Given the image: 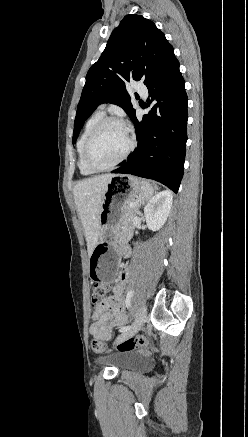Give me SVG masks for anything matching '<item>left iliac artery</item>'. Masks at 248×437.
Masks as SVG:
<instances>
[{
    "label": "left iliac artery",
    "mask_w": 248,
    "mask_h": 437,
    "mask_svg": "<svg viewBox=\"0 0 248 437\" xmlns=\"http://www.w3.org/2000/svg\"><path fill=\"white\" fill-rule=\"evenodd\" d=\"M133 293H134L133 290H130L127 293L126 300H125L127 308L131 307V298L133 297ZM131 328H132V325L123 326V327L120 328L119 331L120 332H126V331L130 330Z\"/></svg>",
    "instance_id": "44dca946"
}]
</instances>
